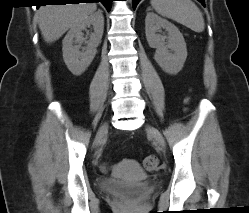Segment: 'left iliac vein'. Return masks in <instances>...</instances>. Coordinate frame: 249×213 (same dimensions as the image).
<instances>
[{
	"label": "left iliac vein",
	"instance_id": "left-iliac-vein-1",
	"mask_svg": "<svg viewBox=\"0 0 249 213\" xmlns=\"http://www.w3.org/2000/svg\"><path fill=\"white\" fill-rule=\"evenodd\" d=\"M146 131L154 137L160 148L164 150L166 147V143L162 134L156 128L149 125L146 127Z\"/></svg>",
	"mask_w": 249,
	"mask_h": 213
}]
</instances>
